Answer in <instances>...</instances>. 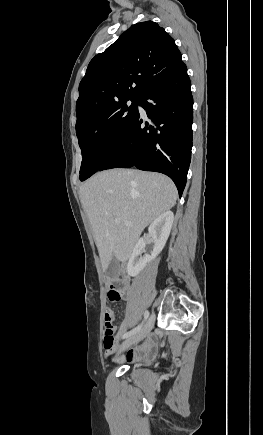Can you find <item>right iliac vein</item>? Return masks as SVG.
Segmentation results:
<instances>
[{"instance_id":"1","label":"right iliac vein","mask_w":263,"mask_h":435,"mask_svg":"<svg viewBox=\"0 0 263 435\" xmlns=\"http://www.w3.org/2000/svg\"><path fill=\"white\" fill-rule=\"evenodd\" d=\"M154 325V315H152L147 323L140 329L137 333L129 337L126 341L123 342L120 347L119 352L127 350L132 344L137 343L141 339H143L153 328Z\"/></svg>"}]
</instances>
